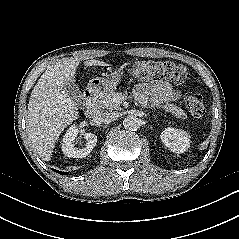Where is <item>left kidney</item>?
Segmentation results:
<instances>
[{
  "mask_svg": "<svg viewBox=\"0 0 239 239\" xmlns=\"http://www.w3.org/2000/svg\"><path fill=\"white\" fill-rule=\"evenodd\" d=\"M162 142L172 152L181 154L190 147L188 134L181 129L166 128L160 135Z\"/></svg>",
  "mask_w": 239,
  "mask_h": 239,
  "instance_id": "5707ae66",
  "label": "left kidney"
}]
</instances>
